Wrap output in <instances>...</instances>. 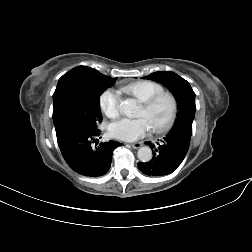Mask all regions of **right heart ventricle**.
<instances>
[{"label": "right heart ventricle", "mask_w": 252, "mask_h": 252, "mask_svg": "<svg viewBox=\"0 0 252 252\" xmlns=\"http://www.w3.org/2000/svg\"><path fill=\"white\" fill-rule=\"evenodd\" d=\"M122 90L140 102H144L157 93L163 92L164 87L153 81H138L122 87Z\"/></svg>", "instance_id": "e07e8e85"}]
</instances>
